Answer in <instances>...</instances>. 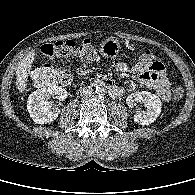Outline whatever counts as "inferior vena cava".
<instances>
[{"label": "inferior vena cava", "mask_w": 195, "mask_h": 195, "mask_svg": "<svg viewBox=\"0 0 195 195\" xmlns=\"http://www.w3.org/2000/svg\"><path fill=\"white\" fill-rule=\"evenodd\" d=\"M94 94L92 87L87 86L80 90V96L84 99L90 98Z\"/></svg>", "instance_id": "obj_1"}]
</instances>
